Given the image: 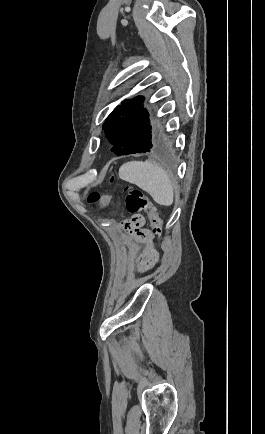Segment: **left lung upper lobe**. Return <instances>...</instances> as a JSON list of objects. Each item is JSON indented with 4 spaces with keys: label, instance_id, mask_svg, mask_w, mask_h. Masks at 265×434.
Here are the masks:
<instances>
[{
    "label": "left lung upper lobe",
    "instance_id": "obj_1",
    "mask_svg": "<svg viewBox=\"0 0 265 434\" xmlns=\"http://www.w3.org/2000/svg\"><path fill=\"white\" fill-rule=\"evenodd\" d=\"M142 102V97L125 100L122 106L114 109L106 119L103 129L109 142L113 144L112 149L120 148L129 139L151 127Z\"/></svg>",
    "mask_w": 265,
    "mask_h": 434
}]
</instances>
